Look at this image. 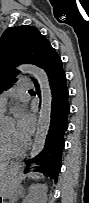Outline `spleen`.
<instances>
[{
	"instance_id": "1",
	"label": "spleen",
	"mask_w": 89,
	"mask_h": 203,
	"mask_svg": "<svg viewBox=\"0 0 89 203\" xmlns=\"http://www.w3.org/2000/svg\"><path fill=\"white\" fill-rule=\"evenodd\" d=\"M30 177L32 178V179H35V180H38V179H41V178H43V177H41L39 174H37V173H31L30 174Z\"/></svg>"
}]
</instances>
